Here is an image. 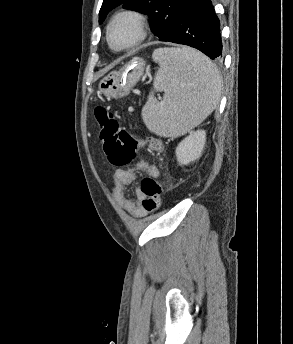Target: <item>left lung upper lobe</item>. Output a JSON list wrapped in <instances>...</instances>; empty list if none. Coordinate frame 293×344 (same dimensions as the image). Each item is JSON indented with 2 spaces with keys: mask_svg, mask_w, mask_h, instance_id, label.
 I'll use <instances>...</instances> for the list:
<instances>
[{
  "mask_svg": "<svg viewBox=\"0 0 293 344\" xmlns=\"http://www.w3.org/2000/svg\"><path fill=\"white\" fill-rule=\"evenodd\" d=\"M189 0H103L99 23L119 5L150 17V26L155 36L164 38L175 25Z\"/></svg>",
  "mask_w": 293,
  "mask_h": 344,
  "instance_id": "1",
  "label": "left lung upper lobe"
}]
</instances>
